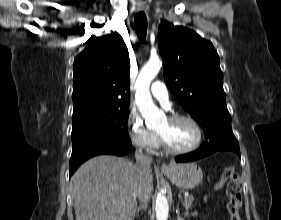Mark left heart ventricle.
<instances>
[{
    "label": "left heart ventricle",
    "mask_w": 281,
    "mask_h": 220,
    "mask_svg": "<svg viewBox=\"0 0 281 220\" xmlns=\"http://www.w3.org/2000/svg\"><path fill=\"white\" fill-rule=\"evenodd\" d=\"M157 133L162 135L167 144L175 149L189 148L197 139L195 128L186 120L171 122L165 119L157 128Z\"/></svg>",
    "instance_id": "left-heart-ventricle-1"
}]
</instances>
